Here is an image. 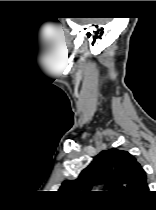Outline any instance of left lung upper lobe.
<instances>
[{
	"mask_svg": "<svg viewBox=\"0 0 156 210\" xmlns=\"http://www.w3.org/2000/svg\"><path fill=\"white\" fill-rule=\"evenodd\" d=\"M105 182L112 191L143 194L148 191L146 172L134 156L127 151H102L75 180L62 183L61 193H88L96 183Z\"/></svg>",
	"mask_w": 156,
	"mask_h": 210,
	"instance_id": "1",
	"label": "left lung upper lobe"
}]
</instances>
